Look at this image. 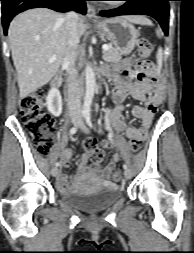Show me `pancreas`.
<instances>
[{"label":"pancreas","mask_w":194,"mask_h":253,"mask_svg":"<svg viewBox=\"0 0 194 253\" xmlns=\"http://www.w3.org/2000/svg\"><path fill=\"white\" fill-rule=\"evenodd\" d=\"M121 58V53L112 46H109L107 51H103V60L106 62L114 63L120 61Z\"/></svg>","instance_id":"1"}]
</instances>
